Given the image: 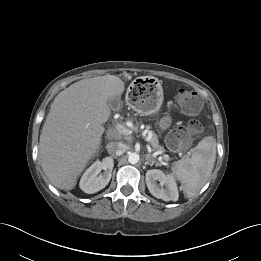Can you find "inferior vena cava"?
Returning <instances> with one entry per match:
<instances>
[{
    "instance_id": "obj_1",
    "label": "inferior vena cava",
    "mask_w": 261,
    "mask_h": 261,
    "mask_svg": "<svg viewBox=\"0 0 261 261\" xmlns=\"http://www.w3.org/2000/svg\"><path fill=\"white\" fill-rule=\"evenodd\" d=\"M108 153L116 156L122 155L126 151V145L123 143L110 142L106 146Z\"/></svg>"
}]
</instances>
